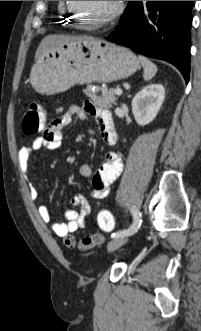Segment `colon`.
Masks as SVG:
<instances>
[{
	"label": "colon",
	"mask_w": 201,
	"mask_h": 331,
	"mask_svg": "<svg viewBox=\"0 0 201 331\" xmlns=\"http://www.w3.org/2000/svg\"><path fill=\"white\" fill-rule=\"evenodd\" d=\"M46 113L42 107L36 103H32L25 111L22 128L27 135H36L46 129ZM97 223L104 231H111L114 226L113 216L107 210L99 211L97 215ZM101 234H94L82 238L79 242V247L84 249L92 248L103 242Z\"/></svg>",
	"instance_id": "obj_1"
}]
</instances>
